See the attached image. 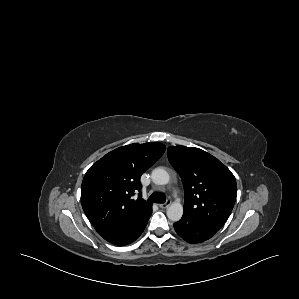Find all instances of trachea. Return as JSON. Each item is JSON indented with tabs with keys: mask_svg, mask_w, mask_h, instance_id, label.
Wrapping results in <instances>:
<instances>
[{
	"mask_svg": "<svg viewBox=\"0 0 299 299\" xmlns=\"http://www.w3.org/2000/svg\"><path fill=\"white\" fill-rule=\"evenodd\" d=\"M148 200L150 202H153V203H165L166 198L161 193H153V194L150 195V197L148 198Z\"/></svg>",
	"mask_w": 299,
	"mask_h": 299,
	"instance_id": "trachea-1",
	"label": "trachea"
}]
</instances>
